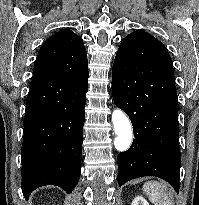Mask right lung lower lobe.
I'll return each mask as SVG.
<instances>
[{
    "instance_id": "1",
    "label": "right lung lower lobe",
    "mask_w": 199,
    "mask_h": 205,
    "mask_svg": "<svg viewBox=\"0 0 199 205\" xmlns=\"http://www.w3.org/2000/svg\"><path fill=\"white\" fill-rule=\"evenodd\" d=\"M89 73L66 78L62 91H49L45 81L31 82L21 148L22 192L55 185L67 193L81 174L83 125Z\"/></svg>"
}]
</instances>
